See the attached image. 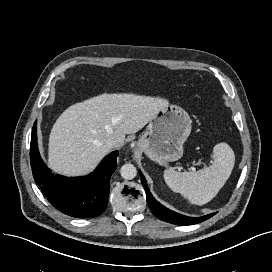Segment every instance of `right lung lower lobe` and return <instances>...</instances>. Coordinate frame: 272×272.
Here are the masks:
<instances>
[{
  "mask_svg": "<svg viewBox=\"0 0 272 272\" xmlns=\"http://www.w3.org/2000/svg\"><path fill=\"white\" fill-rule=\"evenodd\" d=\"M37 121L31 134L30 160L34 180L49 202L62 213L76 218H92L105 211L110 178L116 170L118 151L107 155L93 173L84 177L53 175L37 147Z\"/></svg>",
  "mask_w": 272,
  "mask_h": 272,
  "instance_id": "1",
  "label": "right lung lower lobe"
}]
</instances>
